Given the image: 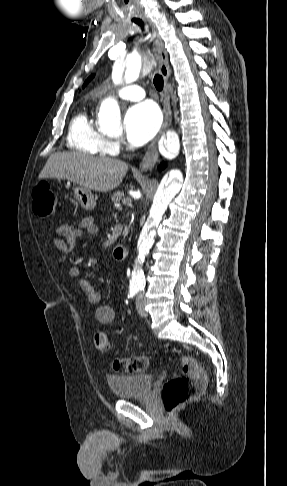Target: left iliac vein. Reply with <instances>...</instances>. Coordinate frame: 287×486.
<instances>
[{
	"mask_svg": "<svg viewBox=\"0 0 287 486\" xmlns=\"http://www.w3.org/2000/svg\"><path fill=\"white\" fill-rule=\"evenodd\" d=\"M145 297L143 294H139L136 298V309L142 317H147L148 313L145 310Z\"/></svg>",
	"mask_w": 287,
	"mask_h": 486,
	"instance_id": "4c4485c4",
	"label": "left iliac vein"
}]
</instances>
